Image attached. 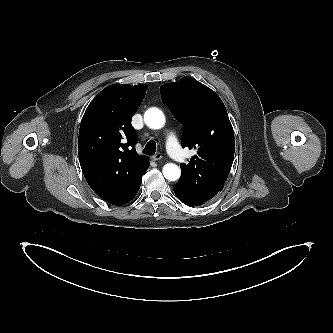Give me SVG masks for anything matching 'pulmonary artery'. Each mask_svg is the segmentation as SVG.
I'll list each match as a JSON object with an SVG mask.
<instances>
[{"mask_svg": "<svg viewBox=\"0 0 333 333\" xmlns=\"http://www.w3.org/2000/svg\"><path fill=\"white\" fill-rule=\"evenodd\" d=\"M166 147L170 155L177 161L183 159V152L178 142L176 135L173 132H169L166 137Z\"/></svg>", "mask_w": 333, "mask_h": 333, "instance_id": "pulmonary-artery-1", "label": "pulmonary artery"}]
</instances>
